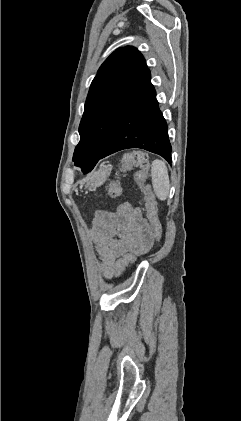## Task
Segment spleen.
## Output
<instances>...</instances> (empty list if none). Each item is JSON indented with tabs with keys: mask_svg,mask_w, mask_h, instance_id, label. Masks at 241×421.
I'll list each match as a JSON object with an SVG mask.
<instances>
[{
	"mask_svg": "<svg viewBox=\"0 0 241 421\" xmlns=\"http://www.w3.org/2000/svg\"><path fill=\"white\" fill-rule=\"evenodd\" d=\"M152 185L157 198L161 201L167 199L170 181L167 167L162 160H154L151 166Z\"/></svg>",
	"mask_w": 241,
	"mask_h": 421,
	"instance_id": "spleen-1",
	"label": "spleen"
}]
</instances>
